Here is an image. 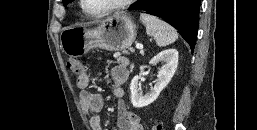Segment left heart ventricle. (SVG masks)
Returning a JSON list of instances; mask_svg holds the SVG:
<instances>
[{"mask_svg":"<svg viewBox=\"0 0 257 130\" xmlns=\"http://www.w3.org/2000/svg\"><path fill=\"white\" fill-rule=\"evenodd\" d=\"M120 0H84V5L89 12H101Z\"/></svg>","mask_w":257,"mask_h":130,"instance_id":"1","label":"left heart ventricle"}]
</instances>
